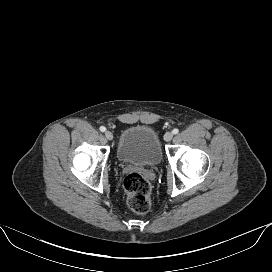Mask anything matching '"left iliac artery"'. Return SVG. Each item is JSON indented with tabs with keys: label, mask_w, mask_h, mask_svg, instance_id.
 <instances>
[{
	"label": "left iliac artery",
	"mask_w": 272,
	"mask_h": 272,
	"mask_svg": "<svg viewBox=\"0 0 272 272\" xmlns=\"http://www.w3.org/2000/svg\"><path fill=\"white\" fill-rule=\"evenodd\" d=\"M173 134H178L179 133V129H177V128H175V129H173Z\"/></svg>",
	"instance_id": "44dca946"
}]
</instances>
